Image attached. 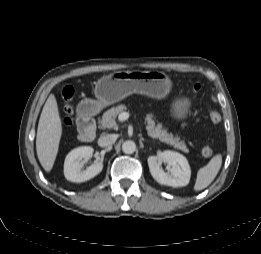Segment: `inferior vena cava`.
<instances>
[{
  "label": "inferior vena cava",
  "instance_id": "inferior-vena-cava-1",
  "mask_svg": "<svg viewBox=\"0 0 261 254\" xmlns=\"http://www.w3.org/2000/svg\"><path fill=\"white\" fill-rule=\"evenodd\" d=\"M116 140H117L116 134L101 135L100 138L98 139V145L101 147L110 146L114 144Z\"/></svg>",
  "mask_w": 261,
  "mask_h": 254
}]
</instances>
